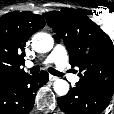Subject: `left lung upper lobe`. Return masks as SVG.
I'll return each instance as SVG.
<instances>
[{
	"label": "left lung upper lobe",
	"instance_id": "left-lung-upper-lobe-1",
	"mask_svg": "<svg viewBox=\"0 0 114 114\" xmlns=\"http://www.w3.org/2000/svg\"><path fill=\"white\" fill-rule=\"evenodd\" d=\"M44 17L63 39L71 66L83 72L80 81L114 90V46L109 36L74 9L51 11Z\"/></svg>",
	"mask_w": 114,
	"mask_h": 114
}]
</instances>
